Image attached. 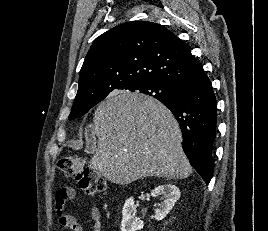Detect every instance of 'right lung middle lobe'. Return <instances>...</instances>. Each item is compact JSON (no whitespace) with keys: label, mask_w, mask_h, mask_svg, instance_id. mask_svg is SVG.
I'll return each instance as SVG.
<instances>
[{"label":"right lung middle lobe","mask_w":268,"mask_h":231,"mask_svg":"<svg viewBox=\"0 0 268 231\" xmlns=\"http://www.w3.org/2000/svg\"><path fill=\"white\" fill-rule=\"evenodd\" d=\"M128 90L132 92H141L143 94L153 96L156 99L170 98L175 92L174 88L166 86L161 83H157V82L140 84ZM97 103L99 102L87 104V105L73 104L72 111L68 119L72 120V119L85 115Z\"/></svg>","instance_id":"1"}]
</instances>
